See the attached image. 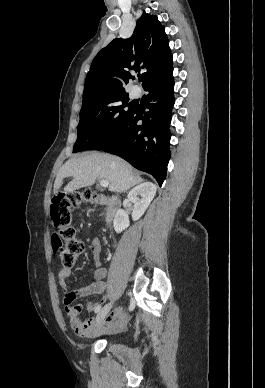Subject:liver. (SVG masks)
<instances>
[{
	"mask_svg": "<svg viewBox=\"0 0 265 388\" xmlns=\"http://www.w3.org/2000/svg\"><path fill=\"white\" fill-rule=\"evenodd\" d=\"M68 176H72L73 180L64 188L66 192L93 186L97 178L108 180L110 192H126L143 182L140 176L134 174L132 166L121 158L109 156V154H95V152H90L88 156H76L65 162L54 182L55 196L63 184V178Z\"/></svg>",
	"mask_w": 265,
	"mask_h": 388,
	"instance_id": "obj_1",
	"label": "liver"
}]
</instances>
